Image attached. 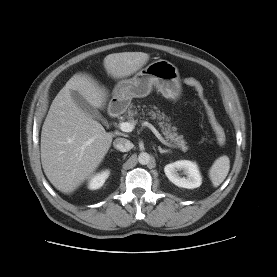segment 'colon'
<instances>
[{
    "label": "colon",
    "instance_id": "colon-1",
    "mask_svg": "<svg viewBox=\"0 0 277 277\" xmlns=\"http://www.w3.org/2000/svg\"><path fill=\"white\" fill-rule=\"evenodd\" d=\"M184 82L188 86L194 88V90L196 91L197 95L199 96V98L202 101L209 125L211 127V130L215 136L217 143L220 146H224L227 141L225 129L218 121L214 109L212 108V106L210 105L208 100L206 99L202 85L200 84V82L198 80H196L195 78H192V77L185 78Z\"/></svg>",
    "mask_w": 277,
    "mask_h": 277
}]
</instances>
